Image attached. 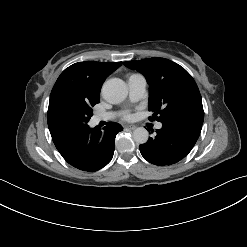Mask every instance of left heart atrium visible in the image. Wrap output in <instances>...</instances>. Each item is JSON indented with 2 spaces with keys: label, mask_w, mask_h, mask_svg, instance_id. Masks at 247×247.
Masks as SVG:
<instances>
[{
  "label": "left heart atrium",
  "mask_w": 247,
  "mask_h": 247,
  "mask_svg": "<svg viewBox=\"0 0 247 247\" xmlns=\"http://www.w3.org/2000/svg\"><path fill=\"white\" fill-rule=\"evenodd\" d=\"M122 116L125 119H130L132 115H131L130 111H125V112H123Z\"/></svg>",
  "instance_id": "obj_1"
}]
</instances>
